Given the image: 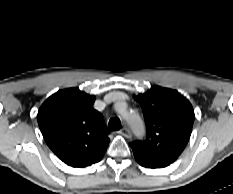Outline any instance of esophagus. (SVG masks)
I'll return each instance as SVG.
<instances>
[{"instance_id": "esophagus-1", "label": "esophagus", "mask_w": 233, "mask_h": 194, "mask_svg": "<svg viewBox=\"0 0 233 194\" xmlns=\"http://www.w3.org/2000/svg\"><path fill=\"white\" fill-rule=\"evenodd\" d=\"M119 133L121 134V135H123L124 137H126V138H131L132 137V133H131V131L128 129V128H122L120 131H119Z\"/></svg>"}]
</instances>
